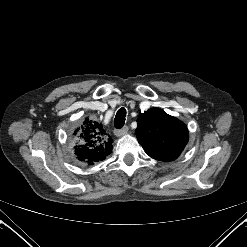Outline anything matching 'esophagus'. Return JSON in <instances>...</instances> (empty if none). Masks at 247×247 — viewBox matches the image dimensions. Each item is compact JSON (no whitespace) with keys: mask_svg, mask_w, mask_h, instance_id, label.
<instances>
[{"mask_svg":"<svg viewBox=\"0 0 247 247\" xmlns=\"http://www.w3.org/2000/svg\"><path fill=\"white\" fill-rule=\"evenodd\" d=\"M128 130H129L128 126H125L121 129H116L114 133L116 136H123L128 132Z\"/></svg>","mask_w":247,"mask_h":247,"instance_id":"34e87169","label":"esophagus"}]
</instances>
